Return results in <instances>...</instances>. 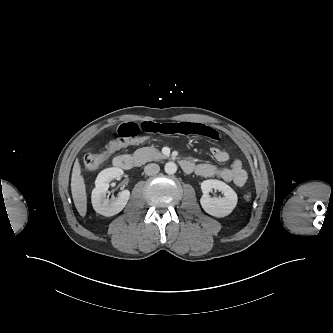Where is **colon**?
<instances>
[{
    "mask_svg": "<svg viewBox=\"0 0 333 333\" xmlns=\"http://www.w3.org/2000/svg\"><path fill=\"white\" fill-rule=\"evenodd\" d=\"M146 136H136L132 138L119 137L110 141L100 153L88 154L84 159L86 168L90 171L100 168L114 153L129 145L140 144L146 141ZM246 201L251 200V194L246 193L244 195Z\"/></svg>",
    "mask_w": 333,
    "mask_h": 333,
    "instance_id": "1",
    "label": "colon"
}]
</instances>
